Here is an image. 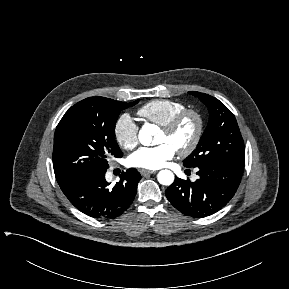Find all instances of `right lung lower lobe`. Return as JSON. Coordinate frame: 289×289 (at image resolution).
Returning <instances> with one entry per match:
<instances>
[{"label":"right lung lower lobe","mask_w":289,"mask_h":289,"mask_svg":"<svg viewBox=\"0 0 289 289\" xmlns=\"http://www.w3.org/2000/svg\"><path fill=\"white\" fill-rule=\"evenodd\" d=\"M105 173L106 170L86 176L62 191L82 213L93 218L113 219L130 207L141 176L136 169H128L112 187L106 181Z\"/></svg>","instance_id":"98d812e1"}]
</instances>
